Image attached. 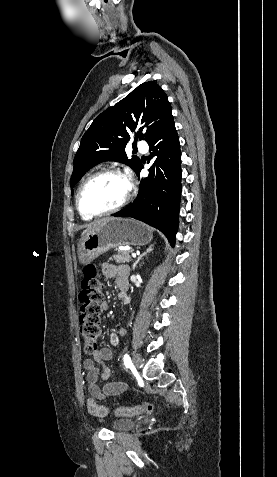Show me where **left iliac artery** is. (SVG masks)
Listing matches in <instances>:
<instances>
[{
    "label": "left iliac artery",
    "mask_w": 277,
    "mask_h": 477,
    "mask_svg": "<svg viewBox=\"0 0 277 477\" xmlns=\"http://www.w3.org/2000/svg\"><path fill=\"white\" fill-rule=\"evenodd\" d=\"M124 364L127 368H130L132 366V362L128 354L124 355Z\"/></svg>",
    "instance_id": "1"
}]
</instances>
